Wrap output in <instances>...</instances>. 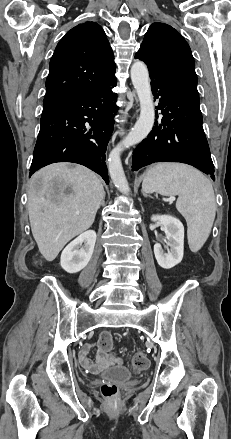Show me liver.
<instances>
[{
    "mask_svg": "<svg viewBox=\"0 0 231 439\" xmlns=\"http://www.w3.org/2000/svg\"><path fill=\"white\" fill-rule=\"evenodd\" d=\"M104 196L100 179L81 165L54 163L32 176L30 226L47 261H53L71 239L92 226Z\"/></svg>",
    "mask_w": 231,
    "mask_h": 439,
    "instance_id": "liver-1",
    "label": "liver"
}]
</instances>
